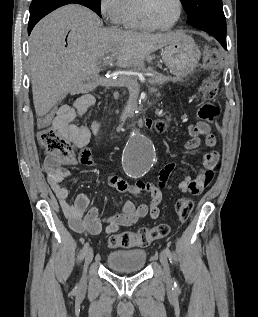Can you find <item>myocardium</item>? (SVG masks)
Here are the masks:
<instances>
[{"label":"myocardium","mask_w":258,"mask_h":317,"mask_svg":"<svg viewBox=\"0 0 258 317\" xmlns=\"http://www.w3.org/2000/svg\"><path fill=\"white\" fill-rule=\"evenodd\" d=\"M154 0H142L138 6L137 10V20L140 29L145 30V31H150V32H155V31H166L171 28H173L180 20L181 15H182V2L181 0H173L176 5H177V16L175 20L166 26H152L148 23L146 19V11L149 5L153 2Z\"/></svg>","instance_id":"obj_1"}]
</instances>
